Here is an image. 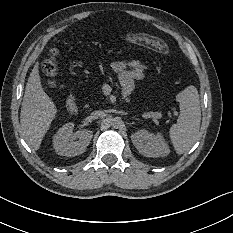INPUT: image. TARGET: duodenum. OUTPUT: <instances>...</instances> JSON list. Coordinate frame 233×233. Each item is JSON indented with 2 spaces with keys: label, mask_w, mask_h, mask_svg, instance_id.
<instances>
[{
  "label": "duodenum",
  "mask_w": 233,
  "mask_h": 233,
  "mask_svg": "<svg viewBox=\"0 0 233 233\" xmlns=\"http://www.w3.org/2000/svg\"><path fill=\"white\" fill-rule=\"evenodd\" d=\"M66 108L71 114H76L78 111L77 103L73 95H69L66 100Z\"/></svg>",
  "instance_id": "duodenum-1"
}]
</instances>
